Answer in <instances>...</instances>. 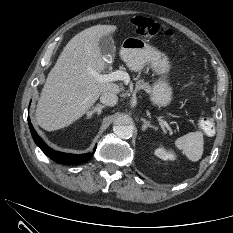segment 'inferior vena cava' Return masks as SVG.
Returning <instances> with one entry per match:
<instances>
[{
  "label": "inferior vena cava",
  "instance_id": "obj_1",
  "mask_svg": "<svg viewBox=\"0 0 233 233\" xmlns=\"http://www.w3.org/2000/svg\"><path fill=\"white\" fill-rule=\"evenodd\" d=\"M100 102L107 106H114L118 102L117 94L112 91H106L102 93L100 97Z\"/></svg>",
  "mask_w": 233,
  "mask_h": 233
}]
</instances>
